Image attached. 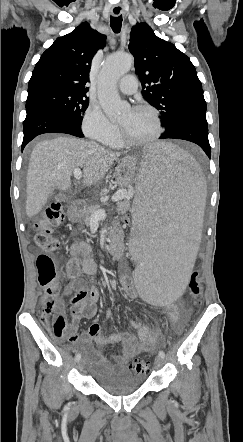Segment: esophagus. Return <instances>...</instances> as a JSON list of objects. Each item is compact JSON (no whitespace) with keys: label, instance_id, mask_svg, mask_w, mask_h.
<instances>
[{"label":"esophagus","instance_id":"34e87169","mask_svg":"<svg viewBox=\"0 0 243 442\" xmlns=\"http://www.w3.org/2000/svg\"><path fill=\"white\" fill-rule=\"evenodd\" d=\"M111 13L113 16L117 17L123 13V7L120 5H114L111 9Z\"/></svg>","mask_w":243,"mask_h":442}]
</instances>
